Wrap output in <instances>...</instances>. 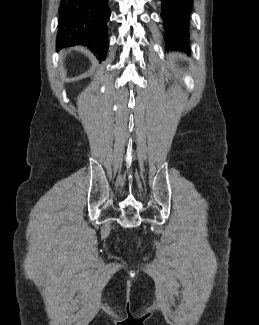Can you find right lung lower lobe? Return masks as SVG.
Masks as SVG:
<instances>
[{
	"instance_id": "1",
	"label": "right lung lower lobe",
	"mask_w": 259,
	"mask_h": 325,
	"mask_svg": "<svg viewBox=\"0 0 259 325\" xmlns=\"http://www.w3.org/2000/svg\"><path fill=\"white\" fill-rule=\"evenodd\" d=\"M108 0H61L57 47L87 46L100 59H105Z\"/></svg>"
}]
</instances>
